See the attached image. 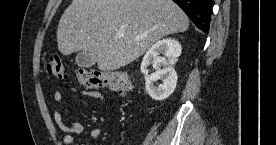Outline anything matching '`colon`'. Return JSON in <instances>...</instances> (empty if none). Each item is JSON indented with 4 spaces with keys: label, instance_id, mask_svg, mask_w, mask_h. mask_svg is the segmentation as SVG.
I'll return each mask as SVG.
<instances>
[{
    "label": "colon",
    "instance_id": "obj_1",
    "mask_svg": "<svg viewBox=\"0 0 276 145\" xmlns=\"http://www.w3.org/2000/svg\"><path fill=\"white\" fill-rule=\"evenodd\" d=\"M46 72L57 79H67L61 59L53 55L46 63ZM77 81L87 88H108L121 94H128L133 85L127 73L121 70H102L98 68H79L75 72Z\"/></svg>",
    "mask_w": 276,
    "mask_h": 145
}]
</instances>
